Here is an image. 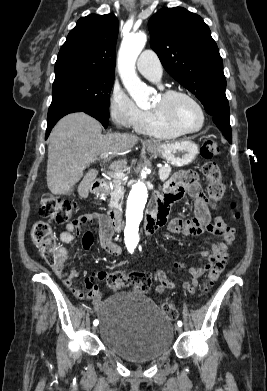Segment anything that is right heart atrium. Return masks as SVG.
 Instances as JSON below:
<instances>
[{
  "label": "right heart atrium",
  "instance_id": "1",
  "mask_svg": "<svg viewBox=\"0 0 267 391\" xmlns=\"http://www.w3.org/2000/svg\"><path fill=\"white\" fill-rule=\"evenodd\" d=\"M108 109L112 121L123 128L136 129L144 121L146 116V111L139 108L137 104L119 88L113 89Z\"/></svg>",
  "mask_w": 267,
  "mask_h": 391
}]
</instances>
